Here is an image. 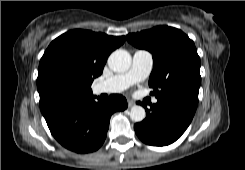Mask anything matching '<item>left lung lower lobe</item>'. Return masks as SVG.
I'll use <instances>...</instances> for the list:
<instances>
[{
  "mask_svg": "<svg viewBox=\"0 0 245 170\" xmlns=\"http://www.w3.org/2000/svg\"><path fill=\"white\" fill-rule=\"evenodd\" d=\"M146 109V118L134 125L137 136L146 144L163 146L175 142L187 129L197 104L177 99L162 98L156 104L140 103Z\"/></svg>",
  "mask_w": 245,
  "mask_h": 170,
  "instance_id": "1",
  "label": "left lung lower lobe"
}]
</instances>
